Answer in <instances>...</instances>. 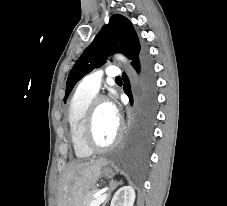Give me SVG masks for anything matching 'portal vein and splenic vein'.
I'll list each match as a JSON object with an SVG mask.
<instances>
[{"mask_svg": "<svg viewBox=\"0 0 227 206\" xmlns=\"http://www.w3.org/2000/svg\"><path fill=\"white\" fill-rule=\"evenodd\" d=\"M95 199L90 203V206H100L105 199L107 198V194L104 191H99L94 195Z\"/></svg>", "mask_w": 227, "mask_h": 206, "instance_id": "portal-vein-and-splenic-vein-1", "label": "portal vein and splenic vein"}]
</instances>
